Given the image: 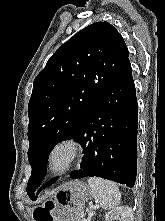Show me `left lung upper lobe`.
Segmentation results:
<instances>
[{"label": "left lung upper lobe", "mask_w": 165, "mask_h": 221, "mask_svg": "<svg viewBox=\"0 0 165 221\" xmlns=\"http://www.w3.org/2000/svg\"><path fill=\"white\" fill-rule=\"evenodd\" d=\"M128 56L116 28L108 22H96L60 46L37 75L28 104L32 172L27 194L32 200L41 191L35 193L46 175L50 152L58 142L73 138Z\"/></svg>", "instance_id": "obj_1"}]
</instances>
